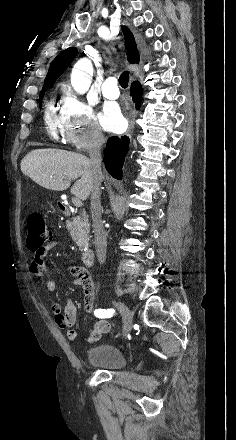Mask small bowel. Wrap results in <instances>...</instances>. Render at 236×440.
<instances>
[{"label": "small bowel", "mask_w": 236, "mask_h": 440, "mask_svg": "<svg viewBox=\"0 0 236 440\" xmlns=\"http://www.w3.org/2000/svg\"><path fill=\"white\" fill-rule=\"evenodd\" d=\"M57 243L52 242L38 250H34L33 260L30 264V271L37 277L46 278V287L50 292L57 289V281L50 275L45 264V256L47 253L56 247ZM73 274V284L81 286L84 294V308L87 312L91 311L95 303V288L90 274L81 267H71ZM51 311L54 316L56 326L65 330L67 337L71 341L78 339V333L74 329L77 319V307L72 299H67L63 305L53 303ZM110 332V323L106 320H100L94 324V328L88 338L90 342L97 341L103 333Z\"/></svg>", "instance_id": "1"}]
</instances>
